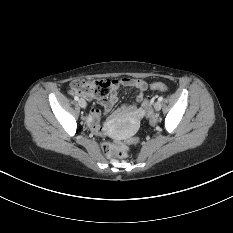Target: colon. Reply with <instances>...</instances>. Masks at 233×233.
<instances>
[{
	"label": "colon",
	"mask_w": 233,
	"mask_h": 233,
	"mask_svg": "<svg viewBox=\"0 0 233 233\" xmlns=\"http://www.w3.org/2000/svg\"><path fill=\"white\" fill-rule=\"evenodd\" d=\"M111 81L108 79L86 80L77 79L71 83V89L73 92L80 94L87 98H106L110 91ZM151 90L166 92L168 87L162 82H154L150 85ZM143 112L148 116L150 123H154L155 119L152 115V103L147 98L142 105ZM131 142L137 143V139H132ZM101 150L108 158L122 157L126 154V146L122 143L104 142L101 145Z\"/></svg>",
	"instance_id": "colon-1"
}]
</instances>
